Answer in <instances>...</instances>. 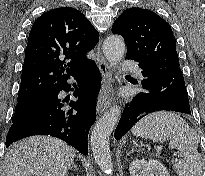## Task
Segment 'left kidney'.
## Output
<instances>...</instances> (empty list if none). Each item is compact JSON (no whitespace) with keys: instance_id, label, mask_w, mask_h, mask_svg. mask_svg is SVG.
I'll use <instances>...</instances> for the list:
<instances>
[{"instance_id":"1","label":"left kidney","mask_w":205,"mask_h":176,"mask_svg":"<svg viewBox=\"0 0 205 176\" xmlns=\"http://www.w3.org/2000/svg\"><path fill=\"white\" fill-rule=\"evenodd\" d=\"M129 171L131 176H170L164 165L156 159L132 161Z\"/></svg>"}]
</instances>
